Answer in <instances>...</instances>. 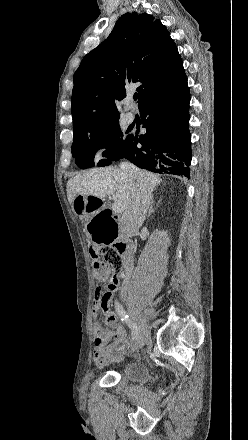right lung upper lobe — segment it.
Wrapping results in <instances>:
<instances>
[{"instance_id":"right-lung-upper-lobe-1","label":"right lung upper lobe","mask_w":248,"mask_h":440,"mask_svg":"<svg viewBox=\"0 0 248 440\" xmlns=\"http://www.w3.org/2000/svg\"><path fill=\"white\" fill-rule=\"evenodd\" d=\"M185 77L176 45L160 20L146 13L124 14L74 74V135L117 123L116 104L126 96L130 84H141L137 88L140 106Z\"/></svg>"}]
</instances>
